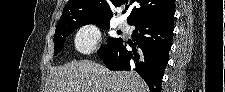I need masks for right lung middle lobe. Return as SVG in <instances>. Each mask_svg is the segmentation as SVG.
Listing matches in <instances>:
<instances>
[{
    "mask_svg": "<svg viewBox=\"0 0 225 92\" xmlns=\"http://www.w3.org/2000/svg\"><path fill=\"white\" fill-rule=\"evenodd\" d=\"M91 23L101 26L104 30H108L110 27L109 22H91L85 20L73 22L68 26L57 27L54 35L55 55H57L62 50L66 38L68 37L69 34H71L75 30V28ZM119 39L120 38H110L108 43L106 45H101V48L99 50L107 48L109 45H111L112 43L116 42Z\"/></svg>",
    "mask_w": 225,
    "mask_h": 92,
    "instance_id": "right-lung-middle-lobe-1",
    "label": "right lung middle lobe"
}]
</instances>
